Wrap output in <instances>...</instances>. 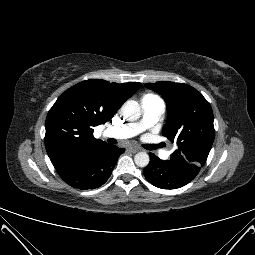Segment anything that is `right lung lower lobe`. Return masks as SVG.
<instances>
[{
    "instance_id": "right-lung-lower-lobe-1",
    "label": "right lung lower lobe",
    "mask_w": 255,
    "mask_h": 255,
    "mask_svg": "<svg viewBox=\"0 0 255 255\" xmlns=\"http://www.w3.org/2000/svg\"><path fill=\"white\" fill-rule=\"evenodd\" d=\"M124 151L125 149L106 143L79 154L55 168L70 186L82 190L95 189L108 180L118 157Z\"/></svg>"
}]
</instances>
